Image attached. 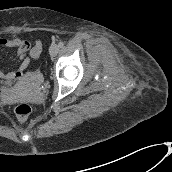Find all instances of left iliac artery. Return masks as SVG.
Returning a JSON list of instances; mask_svg holds the SVG:
<instances>
[{
    "label": "left iliac artery",
    "instance_id": "obj_1",
    "mask_svg": "<svg viewBox=\"0 0 172 172\" xmlns=\"http://www.w3.org/2000/svg\"><path fill=\"white\" fill-rule=\"evenodd\" d=\"M58 45H59V47H63V46H64V43H63L62 41H60V42L58 43Z\"/></svg>",
    "mask_w": 172,
    "mask_h": 172
}]
</instances>
